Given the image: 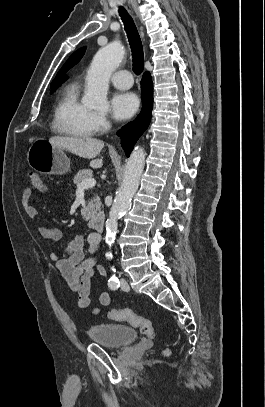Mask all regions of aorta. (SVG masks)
<instances>
[{
    "instance_id": "obj_1",
    "label": "aorta",
    "mask_w": 265,
    "mask_h": 407,
    "mask_svg": "<svg viewBox=\"0 0 265 407\" xmlns=\"http://www.w3.org/2000/svg\"><path fill=\"white\" fill-rule=\"evenodd\" d=\"M123 56L124 50L119 41L109 43L95 54L86 75L87 87L82 100L85 106L91 108H105L107 106L109 79L122 61ZM144 164V149L137 146L127 161L122 184L116 193L109 217L105 223V242L109 247L114 243L119 218L131 206L132 197L139 187ZM105 256L107 260L113 258L111 252H107Z\"/></svg>"
}]
</instances>
